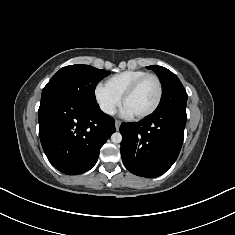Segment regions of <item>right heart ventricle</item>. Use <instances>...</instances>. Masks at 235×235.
Listing matches in <instances>:
<instances>
[{"label":"right heart ventricle","mask_w":235,"mask_h":235,"mask_svg":"<svg viewBox=\"0 0 235 235\" xmlns=\"http://www.w3.org/2000/svg\"><path fill=\"white\" fill-rule=\"evenodd\" d=\"M143 70H125L109 77L104 85L117 97L121 98L126 89L138 78L146 75Z\"/></svg>","instance_id":"e07e8e85"}]
</instances>
